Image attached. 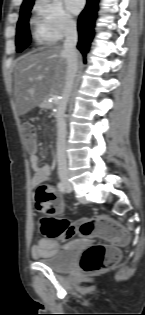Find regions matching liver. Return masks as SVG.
<instances>
[{
    "instance_id": "liver-1",
    "label": "liver",
    "mask_w": 145,
    "mask_h": 315,
    "mask_svg": "<svg viewBox=\"0 0 145 315\" xmlns=\"http://www.w3.org/2000/svg\"><path fill=\"white\" fill-rule=\"evenodd\" d=\"M66 67V58L60 45L45 46L20 57L14 73L15 113L24 115L44 102L48 95L61 94Z\"/></svg>"
}]
</instances>
